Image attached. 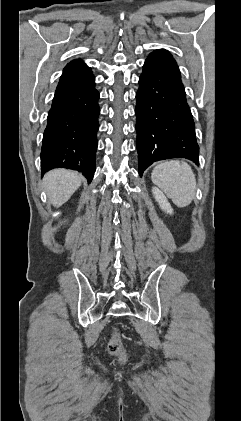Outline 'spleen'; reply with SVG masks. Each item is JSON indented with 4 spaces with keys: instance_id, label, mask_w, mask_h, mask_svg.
Instances as JSON below:
<instances>
[{
    "instance_id": "1",
    "label": "spleen",
    "mask_w": 241,
    "mask_h": 421,
    "mask_svg": "<svg viewBox=\"0 0 241 421\" xmlns=\"http://www.w3.org/2000/svg\"><path fill=\"white\" fill-rule=\"evenodd\" d=\"M151 180L178 207L188 206L195 197L196 178L186 162L171 160L158 164Z\"/></svg>"
}]
</instances>
